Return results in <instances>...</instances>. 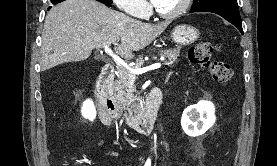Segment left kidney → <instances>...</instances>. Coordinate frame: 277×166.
<instances>
[{
	"mask_svg": "<svg viewBox=\"0 0 277 166\" xmlns=\"http://www.w3.org/2000/svg\"><path fill=\"white\" fill-rule=\"evenodd\" d=\"M215 121V107L213 103L201 100L184 110L181 126L187 135L197 137L210 129Z\"/></svg>",
	"mask_w": 277,
	"mask_h": 166,
	"instance_id": "1",
	"label": "left kidney"
}]
</instances>
